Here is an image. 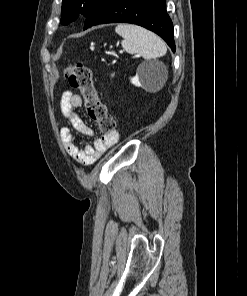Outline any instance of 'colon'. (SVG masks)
Returning <instances> with one entry per match:
<instances>
[{"mask_svg": "<svg viewBox=\"0 0 247 296\" xmlns=\"http://www.w3.org/2000/svg\"><path fill=\"white\" fill-rule=\"evenodd\" d=\"M65 77L72 87L81 91L89 118L98 124L102 133L112 134L116 123L100 99L90 68L81 62L71 64L65 70Z\"/></svg>", "mask_w": 247, "mask_h": 296, "instance_id": "obj_1", "label": "colon"}]
</instances>
